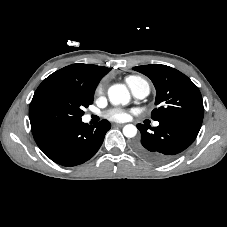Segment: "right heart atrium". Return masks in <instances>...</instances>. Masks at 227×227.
Segmentation results:
<instances>
[{"label":"right heart atrium","instance_id":"obj_1","mask_svg":"<svg viewBox=\"0 0 227 227\" xmlns=\"http://www.w3.org/2000/svg\"><path fill=\"white\" fill-rule=\"evenodd\" d=\"M103 89H104V83H100L97 88H96V95H100L102 92H103Z\"/></svg>","mask_w":227,"mask_h":227}]
</instances>
